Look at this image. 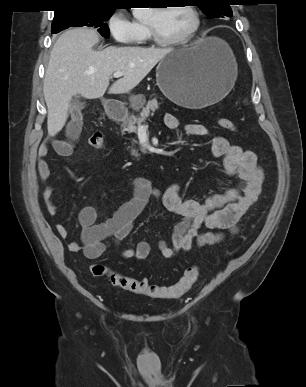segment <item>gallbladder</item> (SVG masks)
I'll list each match as a JSON object with an SVG mask.
<instances>
[{
    "mask_svg": "<svg viewBox=\"0 0 306 387\" xmlns=\"http://www.w3.org/2000/svg\"><path fill=\"white\" fill-rule=\"evenodd\" d=\"M80 105V101H79V95H75L72 99H71V108L72 107H75V106H78Z\"/></svg>",
    "mask_w": 306,
    "mask_h": 387,
    "instance_id": "1",
    "label": "gallbladder"
}]
</instances>
